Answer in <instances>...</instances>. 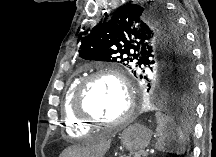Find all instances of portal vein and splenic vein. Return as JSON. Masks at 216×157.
Segmentation results:
<instances>
[{"instance_id":"obj_1","label":"portal vein and splenic vein","mask_w":216,"mask_h":157,"mask_svg":"<svg viewBox=\"0 0 216 157\" xmlns=\"http://www.w3.org/2000/svg\"><path fill=\"white\" fill-rule=\"evenodd\" d=\"M148 151H149V150H146V152H145V153H146V154H148Z\"/></svg>"}]
</instances>
